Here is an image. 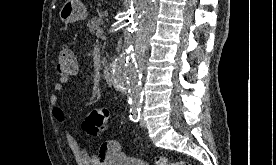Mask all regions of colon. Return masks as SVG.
<instances>
[{"label":"colon","mask_w":276,"mask_h":165,"mask_svg":"<svg viewBox=\"0 0 276 165\" xmlns=\"http://www.w3.org/2000/svg\"><path fill=\"white\" fill-rule=\"evenodd\" d=\"M57 73L62 78H70L77 73V61L74 50L70 47L62 49L58 55ZM109 112L106 108H96L92 110L82 123L83 130L92 135L99 136L105 127ZM117 149L114 142H104L99 151L101 153L109 152ZM155 165H190L185 161H169L164 156H158L155 159Z\"/></svg>","instance_id":"1"}]
</instances>
